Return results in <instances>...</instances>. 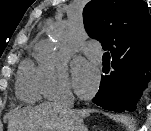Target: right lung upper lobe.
Instances as JSON below:
<instances>
[{"label": "right lung upper lobe", "mask_w": 151, "mask_h": 131, "mask_svg": "<svg viewBox=\"0 0 151 131\" xmlns=\"http://www.w3.org/2000/svg\"><path fill=\"white\" fill-rule=\"evenodd\" d=\"M83 20L89 36L111 51L113 62L150 60L151 16L143 0H92Z\"/></svg>", "instance_id": "obj_1"}]
</instances>
